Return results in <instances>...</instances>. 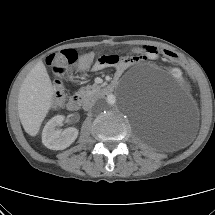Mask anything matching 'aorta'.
I'll list each match as a JSON object with an SVG mask.
<instances>
[{
    "instance_id": "aorta-1",
    "label": "aorta",
    "mask_w": 215,
    "mask_h": 215,
    "mask_svg": "<svg viewBox=\"0 0 215 215\" xmlns=\"http://www.w3.org/2000/svg\"><path fill=\"white\" fill-rule=\"evenodd\" d=\"M115 102L116 97L113 94H109L100 101V104L104 108H111L115 104Z\"/></svg>"
}]
</instances>
